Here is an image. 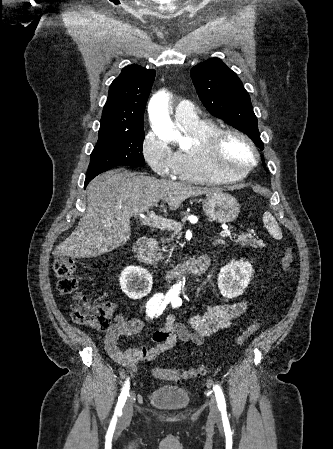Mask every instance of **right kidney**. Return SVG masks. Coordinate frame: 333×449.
Instances as JSON below:
<instances>
[{
  "mask_svg": "<svg viewBox=\"0 0 333 449\" xmlns=\"http://www.w3.org/2000/svg\"><path fill=\"white\" fill-rule=\"evenodd\" d=\"M152 283V276L148 270L140 266H128L121 273V289L131 299H139L147 295L152 288Z\"/></svg>",
  "mask_w": 333,
  "mask_h": 449,
  "instance_id": "1",
  "label": "right kidney"
}]
</instances>
